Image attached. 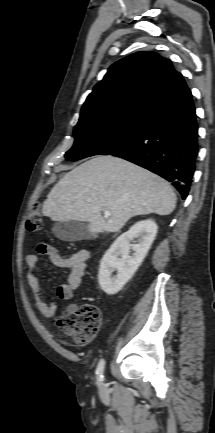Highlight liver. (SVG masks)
Returning a JSON list of instances; mask_svg holds the SVG:
<instances>
[{
  "mask_svg": "<svg viewBox=\"0 0 215 433\" xmlns=\"http://www.w3.org/2000/svg\"><path fill=\"white\" fill-rule=\"evenodd\" d=\"M176 201L163 178L124 159L101 155L66 173L48 194L42 213L57 222H89L93 234L118 232L134 216L171 214Z\"/></svg>",
  "mask_w": 215,
  "mask_h": 433,
  "instance_id": "6515ba94",
  "label": "liver"
}]
</instances>
